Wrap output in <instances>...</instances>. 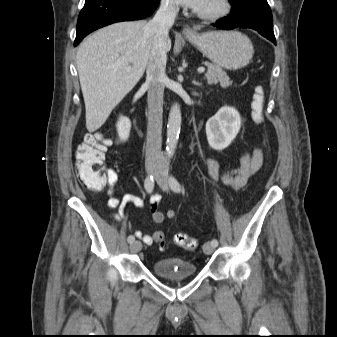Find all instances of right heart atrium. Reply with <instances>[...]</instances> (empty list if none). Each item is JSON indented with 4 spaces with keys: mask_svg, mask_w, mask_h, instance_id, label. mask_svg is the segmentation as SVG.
I'll use <instances>...</instances> for the list:
<instances>
[{
    "mask_svg": "<svg viewBox=\"0 0 337 337\" xmlns=\"http://www.w3.org/2000/svg\"><path fill=\"white\" fill-rule=\"evenodd\" d=\"M162 4L169 11H171V12H175L176 11V6L173 3V0H162Z\"/></svg>",
    "mask_w": 337,
    "mask_h": 337,
    "instance_id": "obj_1",
    "label": "right heart atrium"
}]
</instances>
